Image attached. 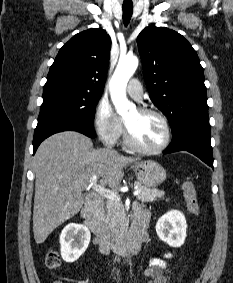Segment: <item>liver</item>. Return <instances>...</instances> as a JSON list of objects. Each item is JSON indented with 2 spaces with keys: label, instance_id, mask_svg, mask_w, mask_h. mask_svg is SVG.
<instances>
[{
  "label": "liver",
  "instance_id": "obj_1",
  "mask_svg": "<svg viewBox=\"0 0 233 283\" xmlns=\"http://www.w3.org/2000/svg\"><path fill=\"white\" fill-rule=\"evenodd\" d=\"M140 158L126 157L106 149H93L90 138L64 131L44 140L34 157L35 197L33 233L37 244L75 216L83 206L82 191L93 176L102 185L117 187L123 168Z\"/></svg>",
  "mask_w": 233,
  "mask_h": 283
}]
</instances>
